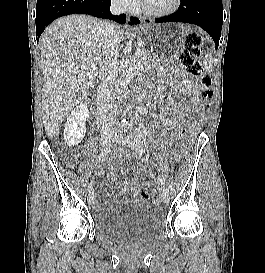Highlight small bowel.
Returning <instances> with one entry per match:
<instances>
[{"instance_id": "1", "label": "small bowel", "mask_w": 265, "mask_h": 273, "mask_svg": "<svg viewBox=\"0 0 265 273\" xmlns=\"http://www.w3.org/2000/svg\"><path fill=\"white\" fill-rule=\"evenodd\" d=\"M163 124L167 125L169 128H176L178 125H179V121L177 120H173V121H170L169 123H165L164 121H162ZM105 167L111 169L113 167V162L111 160H107L105 163H104ZM97 172L98 173H102L103 172V168L102 167H98L97 168ZM129 185L132 187V190L134 193H136V187H137V183H136V180L135 179H132L130 182H129ZM96 208L99 209L100 208V204L99 203H96Z\"/></svg>"}]
</instances>
